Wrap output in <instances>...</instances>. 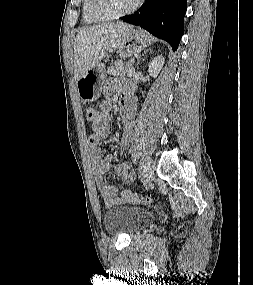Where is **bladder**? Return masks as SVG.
<instances>
[{
    "mask_svg": "<svg viewBox=\"0 0 253 285\" xmlns=\"http://www.w3.org/2000/svg\"><path fill=\"white\" fill-rule=\"evenodd\" d=\"M154 219L152 212L127 205L112 207L103 217L105 230L112 235H134Z\"/></svg>",
    "mask_w": 253,
    "mask_h": 285,
    "instance_id": "bladder-1",
    "label": "bladder"
}]
</instances>
